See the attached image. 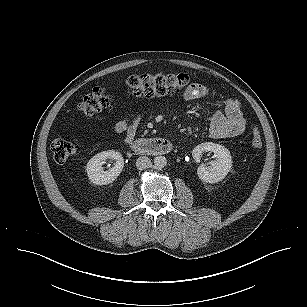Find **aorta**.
<instances>
[{
    "label": "aorta",
    "mask_w": 307,
    "mask_h": 307,
    "mask_svg": "<svg viewBox=\"0 0 307 307\" xmlns=\"http://www.w3.org/2000/svg\"><path fill=\"white\" fill-rule=\"evenodd\" d=\"M155 167L161 169L167 165V160L164 156H157L154 158Z\"/></svg>",
    "instance_id": "aorta-1"
}]
</instances>
